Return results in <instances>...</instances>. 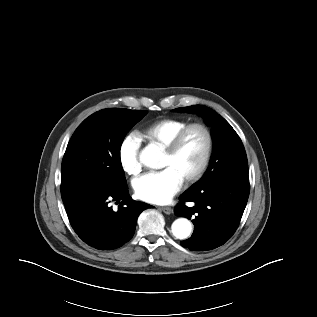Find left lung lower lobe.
I'll list each match as a JSON object with an SVG mask.
<instances>
[{"label": "left lung lower lobe", "mask_w": 317, "mask_h": 317, "mask_svg": "<svg viewBox=\"0 0 317 317\" xmlns=\"http://www.w3.org/2000/svg\"><path fill=\"white\" fill-rule=\"evenodd\" d=\"M249 190V176L235 175L185 191L174 212L189 219L195 216L194 232L181 245L191 251H206L226 243L239 225ZM187 202L194 206L188 207Z\"/></svg>", "instance_id": "0a47b994"}]
</instances>
